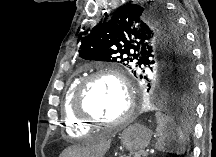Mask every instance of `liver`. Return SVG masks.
<instances>
[{
    "label": "liver",
    "instance_id": "1",
    "mask_svg": "<svg viewBox=\"0 0 216 157\" xmlns=\"http://www.w3.org/2000/svg\"><path fill=\"white\" fill-rule=\"evenodd\" d=\"M109 148V143L105 138L99 137L91 140L85 145H75L66 149L61 157H101Z\"/></svg>",
    "mask_w": 216,
    "mask_h": 157
}]
</instances>
